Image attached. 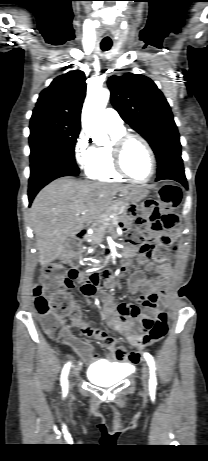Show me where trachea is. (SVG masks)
I'll return each instance as SVG.
<instances>
[{"instance_id":"3493384b","label":"trachea","mask_w":208,"mask_h":461,"mask_svg":"<svg viewBox=\"0 0 208 461\" xmlns=\"http://www.w3.org/2000/svg\"><path fill=\"white\" fill-rule=\"evenodd\" d=\"M112 44L110 43H101V49L103 51H108L111 48Z\"/></svg>"}]
</instances>
